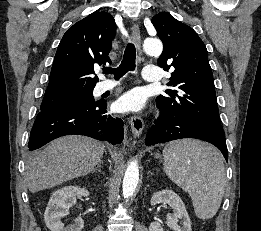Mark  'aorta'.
<instances>
[{"mask_svg":"<svg viewBox=\"0 0 261 231\" xmlns=\"http://www.w3.org/2000/svg\"><path fill=\"white\" fill-rule=\"evenodd\" d=\"M144 51L152 56L162 53L163 45L158 40H147L143 45ZM139 181V166L136 160L131 161L125 171L123 179V196L128 198L135 192Z\"/></svg>","mask_w":261,"mask_h":231,"instance_id":"aorta-1","label":"aorta"}]
</instances>
